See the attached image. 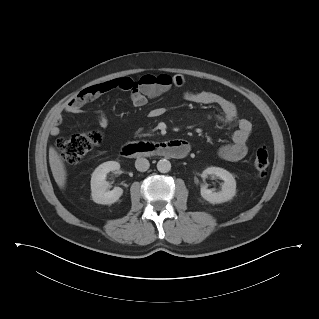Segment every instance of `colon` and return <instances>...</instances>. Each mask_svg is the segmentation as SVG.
Returning a JSON list of instances; mask_svg holds the SVG:
<instances>
[{
	"label": "colon",
	"mask_w": 319,
	"mask_h": 319,
	"mask_svg": "<svg viewBox=\"0 0 319 319\" xmlns=\"http://www.w3.org/2000/svg\"><path fill=\"white\" fill-rule=\"evenodd\" d=\"M171 84V77L165 74H146L137 80L127 78L119 85L125 91H140L143 93L157 92ZM101 141V134L97 131H88L61 137L57 141V149L66 164H74L86 156ZM269 154L266 149L260 148L255 152L253 167L257 178L262 179L267 174Z\"/></svg>",
	"instance_id": "1"
}]
</instances>
